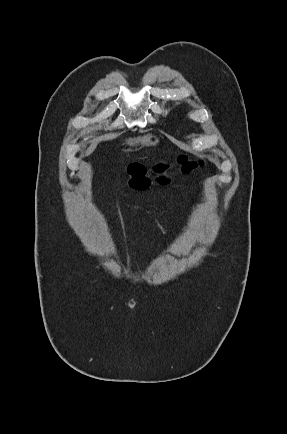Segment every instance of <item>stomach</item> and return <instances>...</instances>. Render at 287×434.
<instances>
[{"instance_id":"1","label":"stomach","mask_w":287,"mask_h":434,"mask_svg":"<svg viewBox=\"0 0 287 434\" xmlns=\"http://www.w3.org/2000/svg\"><path fill=\"white\" fill-rule=\"evenodd\" d=\"M159 138L153 134H146L142 137L130 138L126 140V144L130 146L142 145L143 147H155L159 143Z\"/></svg>"}]
</instances>
